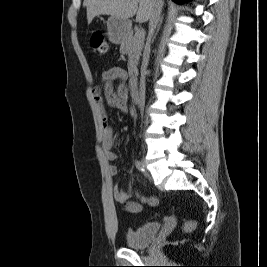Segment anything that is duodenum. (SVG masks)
<instances>
[{"mask_svg": "<svg viewBox=\"0 0 267 267\" xmlns=\"http://www.w3.org/2000/svg\"><path fill=\"white\" fill-rule=\"evenodd\" d=\"M130 95L133 100L139 99V91L137 86V75L134 74L130 80Z\"/></svg>", "mask_w": 267, "mask_h": 267, "instance_id": "410a0bca", "label": "duodenum"}]
</instances>
